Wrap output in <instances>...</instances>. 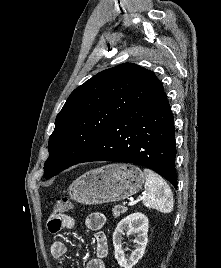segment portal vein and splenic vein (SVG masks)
Wrapping results in <instances>:
<instances>
[{
    "mask_svg": "<svg viewBox=\"0 0 221 268\" xmlns=\"http://www.w3.org/2000/svg\"><path fill=\"white\" fill-rule=\"evenodd\" d=\"M139 201V200H137ZM137 201H134L133 199H130L128 206H133L134 204H136Z\"/></svg>",
    "mask_w": 221,
    "mask_h": 268,
    "instance_id": "portal-vein-and-splenic-vein-1",
    "label": "portal vein and splenic vein"
}]
</instances>
